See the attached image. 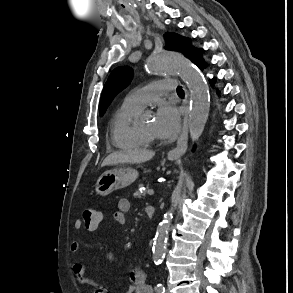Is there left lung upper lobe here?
<instances>
[{
    "mask_svg": "<svg viewBox=\"0 0 293 293\" xmlns=\"http://www.w3.org/2000/svg\"><path fill=\"white\" fill-rule=\"evenodd\" d=\"M166 40V49L176 50L184 54L190 60H192L197 54L199 49L194 48L190 40L185 37H181L175 33H166L164 35ZM133 77L132 69L129 67H118L110 74L100 100L99 112L102 115L106 108L111 103L112 99L124 89L128 83H130Z\"/></svg>",
    "mask_w": 293,
    "mask_h": 293,
    "instance_id": "5c2ea615",
    "label": "left lung upper lobe"
}]
</instances>
